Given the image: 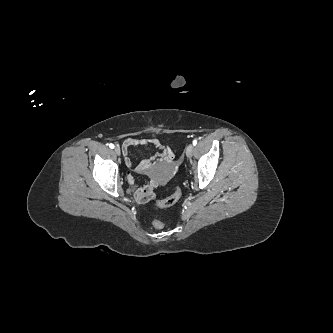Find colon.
<instances>
[{
  "label": "colon",
  "instance_id": "1",
  "mask_svg": "<svg viewBox=\"0 0 333 333\" xmlns=\"http://www.w3.org/2000/svg\"><path fill=\"white\" fill-rule=\"evenodd\" d=\"M181 195H182L181 188L178 187L175 189L173 194H171L167 198L157 201L156 205L160 208L170 207L180 199ZM152 224L156 229H161L164 227V222L158 218L154 219Z\"/></svg>",
  "mask_w": 333,
  "mask_h": 333
}]
</instances>
